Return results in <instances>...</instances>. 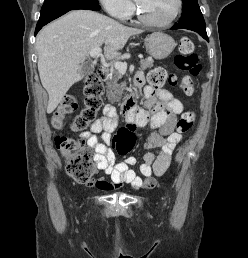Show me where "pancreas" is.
<instances>
[{
  "instance_id": "1",
  "label": "pancreas",
  "mask_w": 248,
  "mask_h": 258,
  "mask_svg": "<svg viewBox=\"0 0 248 258\" xmlns=\"http://www.w3.org/2000/svg\"><path fill=\"white\" fill-rule=\"evenodd\" d=\"M154 60L143 59L140 61L141 69L151 68L153 67ZM122 78V74L116 69H112L110 73L109 79L106 81L107 85V97L110 101H118L120 96L122 95L121 85L118 84V81Z\"/></svg>"
}]
</instances>
